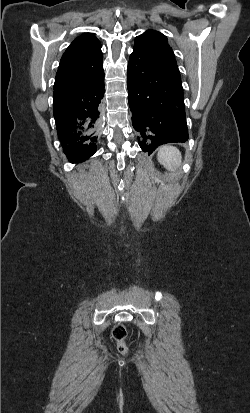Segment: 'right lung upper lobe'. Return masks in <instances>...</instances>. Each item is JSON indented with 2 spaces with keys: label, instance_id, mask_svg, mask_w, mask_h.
Instances as JSON below:
<instances>
[{
  "label": "right lung upper lobe",
  "instance_id": "obj_1",
  "mask_svg": "<svg viewBox=\"0 0 250 413\" xmlns=\"http://www.w3.org/2000/svg\"><path fill=\"white\" fill-rule=\"evenodd\" d=\"M103 69L101 44L91 33L77 37L61 58L54 88L92 81Z\"/></svg>",
  "mask_w": 250,
  "mask_h": 413
}]
</instances>
